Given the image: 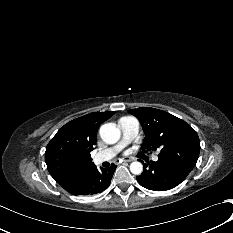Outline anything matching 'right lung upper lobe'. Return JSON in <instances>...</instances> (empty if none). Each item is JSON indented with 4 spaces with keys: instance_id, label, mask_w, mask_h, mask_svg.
Instances as JSON below:
<instances>
[{
    "instance_id": "right-lung-upper-lobe-1",
    "label": "right lung upper lobe",
    "mask_w": 233,
    "mask_h": 233,
    "mask_svg": "<svg viewBox=\"0 0 233 233\" xmlns=\"http://www.w3.org/2000/svg\"><path fill=\"white\" fill-rule=\"evenodd\" d=\"M114 111L93 112L74 119L59 129L46 147L45 161L51 176L68 192L92 168L90 152L94 150L100 124Z\"/></svg>"
}]
</instances>
